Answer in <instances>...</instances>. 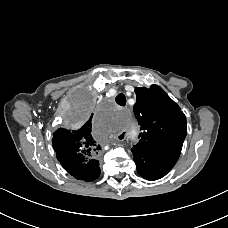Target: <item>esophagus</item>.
I'll return each instance as SVG.
<instances>
[{
	"instance_id": "obj_1",
	"label": "esophagus",
	"mask_w": 228,
	"mask_h": 228,
	"mask_svg": "<svg viewBox=\"0 0 228 228\" xmlns=\"http://www.w3.org/2000/svg\"><path fill=\"white\" fill-rule=\"evenodd\" d=\"M126 137H127V132L122 131V132H120V133L117 135L116 138H117L118 141H123V140L126 139Z\"/></svg>"
}]
</instances>
